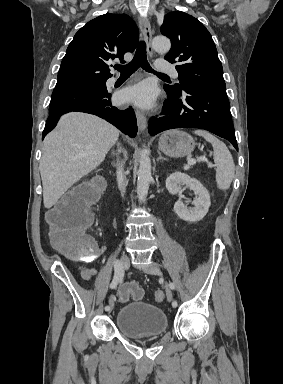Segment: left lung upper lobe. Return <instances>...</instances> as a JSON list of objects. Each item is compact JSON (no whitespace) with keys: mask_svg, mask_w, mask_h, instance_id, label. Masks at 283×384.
I'll list each match as a JSON object with an SVG mask.
<instances>
[{"mask_svg":"<svg viewBox=\"0 0 283 384\" xmlns=\"http://www.w3.org/2000/svg\"><path fill=\"white\" fill-rule=\"evenodd\" d=\"M161 33L171 40L165 59L179 63L176 70L180 84L165 85L166 90L179 91L181 84L226 88L214 41L200 21L185 12L173 11L164 16Z\"/></svg>","mask_w":283,"mask_h":384,"instance_id":"1","label":"left lung upper lobe"}]
</instances>
